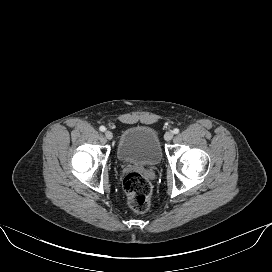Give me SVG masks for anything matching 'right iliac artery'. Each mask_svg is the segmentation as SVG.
<instances>
[{
	"mask_svg": "<svg viewBox=\"0 0 272 272\" xmlns=\"http://www.w3.org/2000/svg\"><path fill=\"white\" fill-rule=\"evenodd\" d=\"M99 130L102 131V132H104L106 130V128L104 126H100Z\"/></svg>",
	"mask_w": 272,
	"mask_h": 272,
	"instance_id": "obj_1",
	"label": "right iliac artery"
}]
</instances>
